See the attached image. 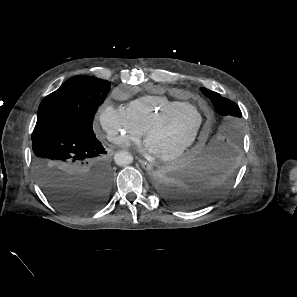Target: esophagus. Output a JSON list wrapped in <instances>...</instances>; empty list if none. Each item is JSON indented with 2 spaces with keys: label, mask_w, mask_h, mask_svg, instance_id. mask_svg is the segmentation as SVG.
Wrapping results in <instances>:
<instances>
[{
  "label": "esophagus",
  "mask_w": 297,
  "mask_h": 297,
  "mask_svg": "<svg viewBox=\"0 0 297 297\" xmlns=\"http://www.w3.org/2000/svg\"><path fill=\"white\" fill-rule=\"evenodd\" d=\"M139 163L141 164L143 169H145L146 171H151L153 169V166L150 163H148L142 159H139Z\"/></svg>",
  "instance_id": "34e87169"
}]
</instances>
